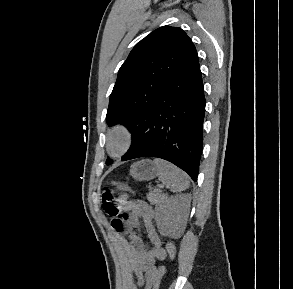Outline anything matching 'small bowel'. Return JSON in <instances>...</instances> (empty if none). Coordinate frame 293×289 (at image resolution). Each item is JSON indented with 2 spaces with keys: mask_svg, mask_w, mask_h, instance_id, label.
Instances as JSON below:
<instances>
[{
  "mask_svg": "<svg viewBox=\"0 0 293 289\" xmlns=\"http://www.w3.org/2000/svg\"><path fill=\"white\" fill-rule=\"evenodd\" d=\"M116 201L122 216L112 218L111 226L119 233L118 240L129 263L133 266L137 286L151 289L150 281L161 268H157L155 262L162 261L167 256L153 224L154 210L148 203L142 200H129L126 195H120ZM140 222L144 225L148 242L136 231ZM116 225L122 227L118 229ZM125 235L129 236V240Z\"/></svg>",
  "mask_w": 293,
  "mask_h": 289,
  "instance_id": "c3829d8e",
  "label": "small bowel"
}]
</instances>
